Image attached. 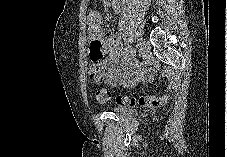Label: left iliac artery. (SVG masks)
I'll list each match as a JSON object with an SVG mask.
<instances>
[{
	"mask_svg": "<svg viewBox=\"0 0 227 157\" xmlns=\"http://www.w3.org/2000/svg\"><path fill=\"white\" fill-rule=\"evenodd\" d=\"M134 35H135L134 36L135 37V41H138L139 42L140 41V37H141L140 34H134Z\"/></svg>",
	"mask_w": 227,
	"mask_h": 157,
	"instance_id": "obj_1",
	"label": "left iliac artery"
}]
</instances>
